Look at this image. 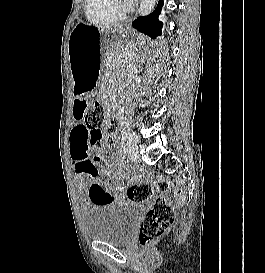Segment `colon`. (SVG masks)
<instances>
[{
  "label": "colon",
  "instance_id": "5ec220e1",
  "mask_svg": "<svg viewBox=\"0 0 265 273\" xmlns=\"http://www.w3.org/2000/svg\"><path fill=\"white\" fill-rule=\"evenodd\" d=\"M85 123L90 130L88 143L96 152L95 161L100 163L102 161V144L104 142L110 143L113 140L117 119L115 117L106 118L103 107L96 104L87 111ZM156 187L161 192L172 189V185L166 180L158 181ZM104 190H106L105 187ZM154 193V186L150 182L133 183L127 190L129 200L134 203H145L154 197ZM183 202L184 194L181 189H174L169 198H154L138 233V241L142 247L150 246L172 227L176 206Z\"/></svg>",
  "mask_w": 265,
  "mask_h": 273
}]
</instances>
